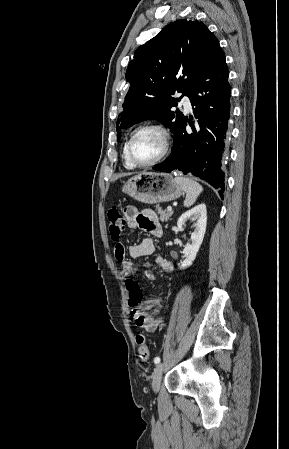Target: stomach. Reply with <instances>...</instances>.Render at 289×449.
Here are the masks:
<instances>
[{
    "instance_id": "obj_1",
    "label": "stomach",
    "mask_w": 289,
    "mask_h": 449,
    "mask_svg": "<svg viewBox=\"0 0 289 449\" xmlns=\"http://www.w3.org/2000/svg\"><path fill=\"white\" fill-rule=\"evenodd\" d=\"M183 188L167 173L143 172L124 182L122 192L145 204L179 198Z\"/></svg>"
}]
</instances>
